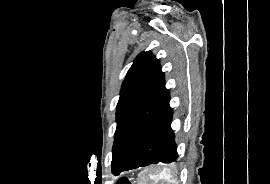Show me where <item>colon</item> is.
<instances>
[{"instance_id":"obj_1","label":"colon","mask_w":270,"mask_h":184,"mask_svg":"<svg viewBox=\"0 0 270 184\" xmlns=\"http://www.w3.org/2000/svg\"><path fill=\"white\" fill-rule=\"evenodd\" d=\"M118 184H132V182L128 178H121Z\"/></svg>"}]
</instances>
